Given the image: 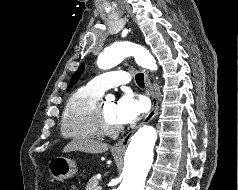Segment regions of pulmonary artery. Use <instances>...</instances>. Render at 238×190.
<instances>
[{"label":"pulmonary artery","mask_w":238,"mask_h":190,"mask_svg":"<svg viewBox=\"0 0 238 190\" xmlns=\"http://www.w3.org/2000/svg\"><path fill=\"white\" fill-rule=\"evenodd\" d=\"M129 75L122 70L110 71L96 76L87 83V86L99 93H103L106 90L117 87L129 82Z\"/></svg>","instance_id":"obj_1"}]
</instances>
